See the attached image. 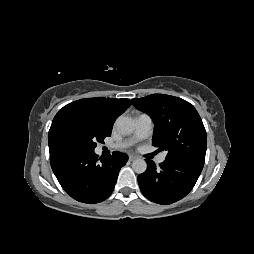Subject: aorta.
I'll use <instances>...</instances> for the list:
<instances>
[{
	"mask_svg": "<svg viewBox=\"0 0 254 254\" xmlns=\"http://www.w3.org/2000/svg\"><path fill=\"white\" fill-rule=\"evenodd\" d=\"M116 128L122 134H130L135 128L134 120L127 116H120L116 120ZM132 168L136 173L141 174L147 170V163L144 159L138 158L133 161Z\"/></svg>",
	"mask_w": 254,
	"mask_h": 254,
	"instance_id": "762f6f07",
	"label": "aorta"
}]
</instances>
